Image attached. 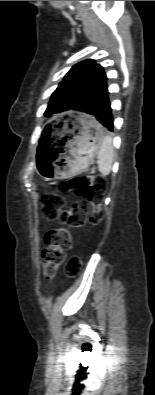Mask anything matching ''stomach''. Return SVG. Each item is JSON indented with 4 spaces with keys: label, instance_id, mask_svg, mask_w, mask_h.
I'll return each mask as SVG.
<instances>
[{
    "label": "stomach",
    "instance_id": "obj_1",
    "mask_svg": "<svg viewBox=\"0 0 155 395\" xmlns=\"http://www.w3.org/2000/svg\"><path fill=\"white\" fill-rule=\"evenodd\" d=\"M103 137L102 128L93 117L79 114L63 136L61 152L51 162H41L38 173L49 180L83 172L98 154Z\"/></svg>",
    "mask_w": 155,
    "mask_h": 395
}]
</instances>
